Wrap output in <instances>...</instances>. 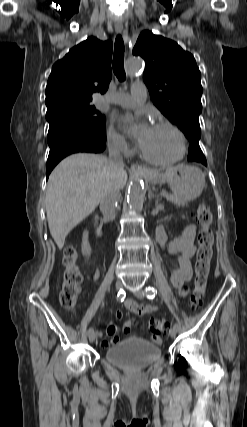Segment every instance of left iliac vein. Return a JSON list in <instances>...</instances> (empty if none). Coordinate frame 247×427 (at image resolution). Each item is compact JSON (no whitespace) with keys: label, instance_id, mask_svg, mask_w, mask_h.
<instances>
[{"label":"left iliac vein","instance_id":"left-iliac-vein-1","mask_svg":"<svg viewBox=\"0 0 247 427\" xmlns=\"http://www.w3.org/2000/svg\"><path fill=\"white\" fill-rule=\"evenodd\" d=\"M134 294L140 299L144 298L145 296V292L141 290H135ZM177 332H178V329L173 326L169 331V335L173 338L176 336Z\"/></svg>","mask_w":247,"mask_h":427}]
</instances>
